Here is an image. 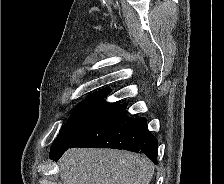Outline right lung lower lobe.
Listing matches in <instances>:
<instances>
[{
  "label": "right lung lower lobe",
  "instance_id": "right-lung-lower-lobe-1",
  "mask_svg": "<svg viewBox=\"0 0 224 184\" xmlns=\"http://www.w3.org/2000/svg\"><path fill=\"white\" fill-rule=\"evenodd\" d=\"M127 104H119L101 122L86 130L68 144L51 148L50 158L58 160L68 148H114L143 153L157 163V139L150 133L146 119L130 118Z\"/></svg>",
  "mask_w": 224,
  "mask_h": 184
}]
</instances>
